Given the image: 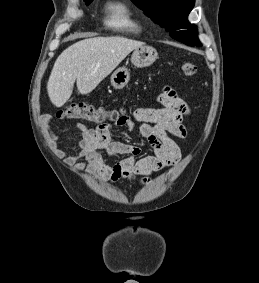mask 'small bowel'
I'll list each match as a JSON object with an SVG mask.
<instances>
[{"label":"small bowel","mask_w":259,"mask_h":283,"mask_svg":"<svg viewBox=\"0 0 259 283\" xmlns=\"http://www.w3.org/2000/svg\"><path fill=\"white\" fill-rule=\"evenodd\" d=\"M161 107H141L134 111L133 116H123L114 125L100 124L96 128H88L84 124H76L74 136L77 138L75 155L64 158V163L77 171L95 174L102 180L118 182L131 180L141 176L144 180L154 172L175 165L181 157L176 141L171 137H186L184 121L189 117L190 110L176 92L166 87L157 97ZM49 121L48 116L42 117ZM113 126L137 130L145 138L152 154L137 158L141 148L137 145L116 142L111 139ZM122 155V159L109 163L105 156Z\"/></svg>","instance_id":"c3829d8e"}]
</instances>
